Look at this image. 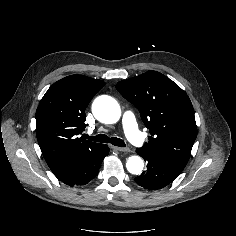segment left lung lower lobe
I'll list each match as a JSON object with an SVG mask.
<instances>
[{
  "label": "left lung lower lobe",
  "mask_w": 236,
  "mask_h": 236,
  "mask_svg": "<svg viewBox=\"0 0 236 236\" xmlns=\"http://www.w3.org/2000/svg\"><path fill=\"white\" fill-rule=\"evenodd\" d=\"M137 154L147 162V170L134 180L145 189H162L173 182L183 170L153 151L138 148Z\"/></svg>",
  "instance_id": "left-lung-lower-lobe-1"
}]
</instances>
